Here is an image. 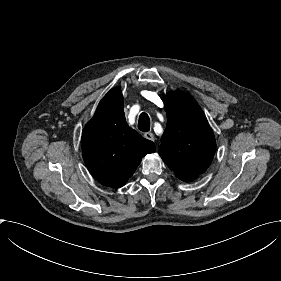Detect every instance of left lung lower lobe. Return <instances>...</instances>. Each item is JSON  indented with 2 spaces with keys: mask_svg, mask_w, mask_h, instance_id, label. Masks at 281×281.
Segmentation results:
<instances>
[{
  "mask_svg": "<svg viewBox=\"0 0 281 281\" xmlns=\"http://www.w3.org/2000/svg\"><path fill=\"white\" fill-rule=\"evenodd\" d=\"M194 179H195V178H194ZM194 179H192V178H189V179L185 178L183 181H192V180H194Z\"/></svg>",
  "mask_w": 281,
  "mask_h": 281,
  "instance_id": "left-lung-lower-lobe-1",
  "label": "left lung lower lobe"
}]
</instances>
